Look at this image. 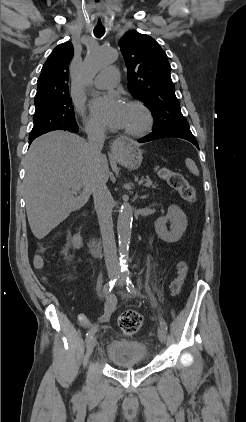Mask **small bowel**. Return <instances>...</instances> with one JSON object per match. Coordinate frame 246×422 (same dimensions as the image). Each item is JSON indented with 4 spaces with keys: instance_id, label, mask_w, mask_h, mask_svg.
Listing matches in <instances>:
<instances>
[{
    "instance_id": "1",
    "label": "small bowel",
    "mask_w": 246,
    "mask_h": 422,
    "mask_svg": "<svg viewBox=\"0 0 246 422\" xmlns=\"http://www.w3.org/2000/svg\"><path fill=\"white\" fill-rule=\"evenodd\" d=\"M116 307H117V298L114 294L109 293L105 298L104 312L101 316L98 317L97 319L98 322L99 323L107 322L110 319V317L113 315V313L115 312ZM79 322L84 327H88L91 325L90 320L84 315L79 316Z\"/></svg>"
}]
</instances>
